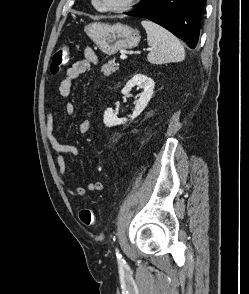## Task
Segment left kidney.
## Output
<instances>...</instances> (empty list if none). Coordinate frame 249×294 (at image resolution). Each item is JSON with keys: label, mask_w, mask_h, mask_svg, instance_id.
<instances>
[{"label": "left kidney", "mask_w": 249, "mask_h": 294, "mask_svg": "<svg viewBox=\"0 0 249 294\" xmlns=\"http://www.w3.org/2000/svg\"><path fill=\"white\" fill-rule=\"evenodd\" d=\"M135 86H137L138 89L143 88V91L139 94V98L135 104V108L130 117L131 120L139 116L141 112L146 108L148 102L150 101L154 93L153 90L155 83L150 77H147L146 75L136 74L126 83V85L121 91L122 94H128ZM127 121V118H118L114 114V110L112 108H108L104 112L103 122L107 127H113L116 125L124 124Z\"/></svg>", "instance_id": "left-kidney-1"}]
</instances>
